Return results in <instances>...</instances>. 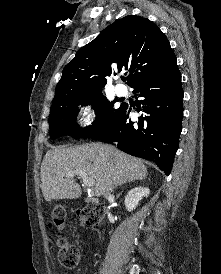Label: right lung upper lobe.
Listing matches in <instances>:
<instances>
[{"label": "right lung upper lobe", "instance_id": "right-lung-upper-lobe-1", "mask_svg": "<svg viewBox=\"0 0 221 274\" xmlns=\"http://www.w3.org/2000/svg\"><path fill=\"white\" fill-rule=\"evenodd\" d=\"M175 58L168 39L153 22L126 16L77 51L63 69L53 102L101 94L106 78L121 71H129L127 84L132 87Z\"/></svg>", "mask_w": 221, "mask_h": 274}]
</instances>
